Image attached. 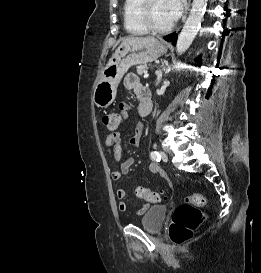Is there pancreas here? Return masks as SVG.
<instances>
[{"label":"pancreas","instance_id":"cf45deb5","mask_svg":"<svg viewBox=\"0 0 261 273\" xmlns=\"http://www.w3.org/2000/svg\"><path fill=\"white\" fill-rule=\"evenodd\" d=\"M147 69H148V67L146 64H141V65L137 66V73L139 75H142L147 71Z\"/></svg>","mask_w":261,"mask_h":273}]
</instances>
